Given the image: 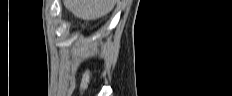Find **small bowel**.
<instances>
[{
  "label": "small bowel",
  "mask_w": 232,
  "mask_h": 96,
  "mask_svg": "<svg viewBox=\"0 0 232 96\" xmlns=\"http://www.w3.org/2000/svg\"><path fill=\"white\" fill-rule=\"evenodd\" d=\"M87 83H88V73L85 74V77H84V80H83V83H82V87H86Z\"/></svg>",
  "instance_id": "c3829d8e"
}]
</instances>
